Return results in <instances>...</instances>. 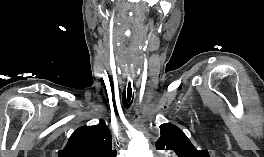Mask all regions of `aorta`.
Masks as SVG:
<instances>
[{
  "mask_svg": "<svg viewBox=\"0 0 264 157\" xmlns=\"http://www.w3.org/2000/svg\"><path fill=\"white\" fill-rule=\"evenodd\" d=\"M147 140L138 135L132 139L127 151V157H151Z\"/></svg>",
  "mask_w": 264,
  "mask_h": 157,
  "instance_id": "aorta-1",
  "label": "aorta"
}]
</instances>
